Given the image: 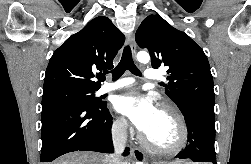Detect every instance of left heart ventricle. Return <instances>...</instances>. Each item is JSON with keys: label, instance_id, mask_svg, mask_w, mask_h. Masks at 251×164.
I'll return each instance as SVG.
<instances>
[{"label": "left heart ventricle", "instance_id": "obj_1", "mask_svg": "<svg viewBox=\"0 0 251 164\" xmlns=\"http://www.w3.org/2000/svg\"><path fill=\"white\" fill-rule=\"evenodd\" d=\"M146 135L154 145L169 146L176 140L177 130L172 119L159 111L153 127Z\"/></svg>", "mask_w": 251, "mask_h": 164}]
</instances>
